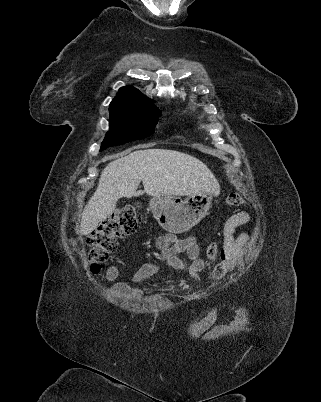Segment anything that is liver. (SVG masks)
<instances>
[{"label":"liver","mask_w":321,"mask_h":402,"mask_svg":"<svg viewBox=\"0 0 321 402\" xmlns=\"http://www.w3.org/2000/svg\"><path fill=\"white\" fill-rule=\"evenodd\" d=\"M144 190L137 191L140 182ZM220 186L210 169L189 154L167 149H140L110 162L102 171L93 196L82 212L80 232L89 235L115 210L118 199L144 193L151 196H190Z\"/></svg>","instance_id":"obj_1"}]
</instances>
